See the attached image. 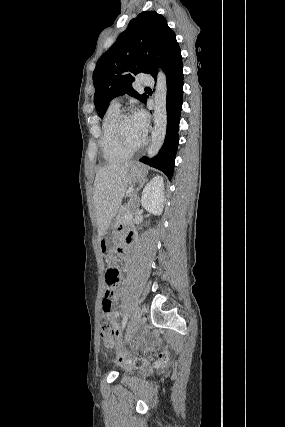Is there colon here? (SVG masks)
Wrapping results in <instances>:
<instances>
[{"mask_svg": "<svg viewBox=\"0 0 285 427\" xmlns=\"http://www.w3.org/2000/svg\"><path fill=\"white\" fill-rule=\"evenodd\" d=\"M119 281V270L114 266H108L105 271V285L106 292L109 293L114 289ZM118 313L114 310H111L105 314V322L101 329V339L103 343L108 347L112 348L114 343L119 338L120 331L117 324ZM119 361L123 363H133L137 368L144 367L146 365V360L143 358H136L131 360L124 355H119ZM170 355L167 352L162 353L157 359L155 366L157 368L167 366L170 363Z\"/></svg>", "mask_w": 285, "mask_h": 427, "instance_id": "1", "label": "colon"}]
</instances>
